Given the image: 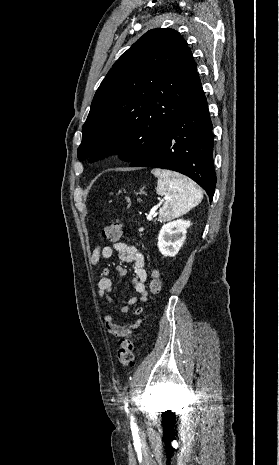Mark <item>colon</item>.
<instances>
[{
    "instance_id": "5ec220e1",
    "label": "colon",
    "mask_w": 279,
    "mask_h": 465,
    "mask_svg": "<svg viewBox=\"0 0 279 465\" xmlns=\"http://www.w3.org/2000/svg\"><path fill=\"white\" fill-rule=\"evenodd\" d=\"M123 233V225L120 219L113 220L107 225L102 232L104 239L115 242L119 240ZM161 287L159 275L154 271L151 275L149 283V289L151 293L155 294L159 292ZM117 359L121 366L129 367L134 361V342L130 334H127L125 338L120 341L119 349L117 352Z\"/></svg>"
}]
</instances>
